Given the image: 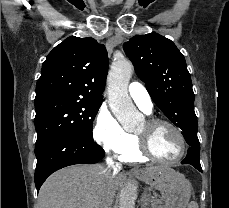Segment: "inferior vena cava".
<instances>
[{"instance_id": "602c4592", "label": "inferior vena cava", "mask_w": 229, "mask_h": 208, "mask_svg": "<svg viewBox=\"0 0 229 208\" xmlns=\"http://www.w3.org/2000/svg\"><path fill=\"white\" fill-rule=\"evenodd\" d=\"M106 164H107V168L104 172L106 178H114V176H116L117 174V170H119L118 166H114V162L112 160V158H107L106 160ZM113 168L114 172H111V170ZM109 192H107V184L106 186H104V194H102V198H101V206L100 208H107V196H108Z\"/></svg>"}]
</instances>
